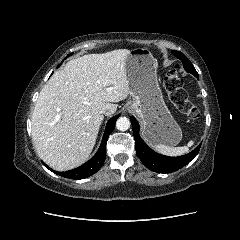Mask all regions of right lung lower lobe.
<instances>
[{
  "label": "right lung lower lobe",
  "mask_w": 240,
  "mask_h": 240,
  "mask_svg": "<svg viewBox=\"0 0 240 240\" xmlns=\"http://www.w3.org/2000/svg\"><path fill=\"white\" fill-rule=\"evenodd\" d=\"M119 116H120V114L112 117L108 121L103 138H102L101 145H100L97 153L95 154V156H93L88 162H86L85 164H83L82 166H80L78 168H75L73 170H69L66 172H57L50 168L49 169L52 172H54L55 174H58L60 176L71 178V179H78V180L89 177V176L93 175L94 173H96L102 167V164L105 160L106 143H107L110 133L115 128V122ZM43 164L48 168V166L45 163H43Z\"/></svg>",
  "instance_id": "98d812e1"
}]
</instances>
